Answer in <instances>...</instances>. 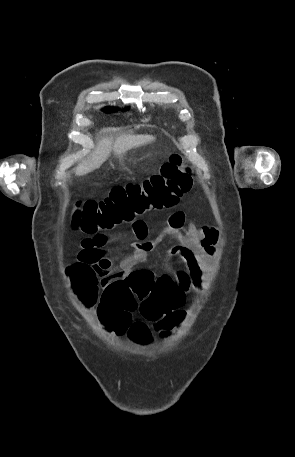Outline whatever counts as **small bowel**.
<instances>
[{"label": "small bowel", "instance_id": "obj_1", "mask_svg": "<svg viewBox=\"0 0 295 457\" xmlns=\"http://www.w3.org/2000/svg\"><path fill=\"white\" fill-rule=\"evenodd\" d=\"M129 233L135 240L130 243L132 252L119 265L123 279L130 272L136 271L135 267L146 259L148 253L164 237L170 236L176 240V244L170 247L168 256L179 260L183 264V269L174 272V280L169 275L160 277L167 276L174 281L180 307L184 305L187 293L201 289L203 277L211 269V259L219 241L217 229L210 226L198 228L193 220L186 225L185 213L178 210L169 216L166 226L154 240H146L148 225L142 219H137L130 225ZM111 239L112 236L104 232H97L83 238L77 256L78 261L110 268V261L105 255L104 247ZM105 283L106 278L102 281L103 287Z\"/></svg>", "mask_w": 295, "mask_h": 457}]
</instances>
